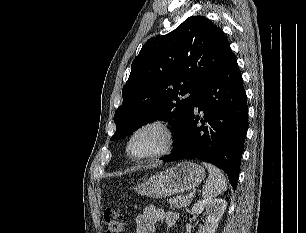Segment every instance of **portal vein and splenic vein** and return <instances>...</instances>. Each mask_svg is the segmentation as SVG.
<instances>
[{
	"mask_svg": "<svg viewBox=\"0 0 306 233\" xmlns=\"http://www.w3.org/2000/svg\"><path fill=\"white\" fill-rule=\"evenodd\" d=\"M188 197H189L190 199L193 198V194L190 193V194L188 195Z\"/></svg>",
	"mask_w": 306,
	"mask_h": 233,
	"instance_id": "1",
	"label": "portal vein and splenic vein"
}]
</instances>
